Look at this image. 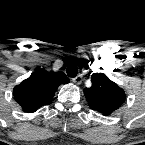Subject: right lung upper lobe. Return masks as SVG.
I'll list each match as a JSON object with an SVG mask.
<instances>
[{
	"instance_id": "cb5924a9",
	"label": "right lung upper lobe",
	"mask_w": 145,
	"mask_h": 145,
	"mask_svg": "<svg viewBox=\"0 0 145 145\" xmlns=\"http://www.w3.org/2000/svg\"><path fill=\"white\" fill-rule=\"evenodd\" d=\"M67 83L69 79L64 73L40 69L14 87V97L23 111L33 113L39 107L48 105L58 86Z\"/></svg>"
}]
</instances>
